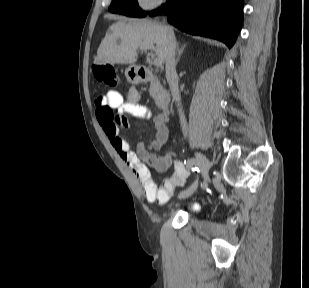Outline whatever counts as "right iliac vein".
Segmentation results:
<instances>
[{"label":"right iliac vein","instance_id":"1","mask_svg":"<svg viewBox=\"0 0 309 288\" xmlns=\"http://www.w3.org/2000/svg\"><path fill=\"white\" fill-rule=\"evenodd\" d=\"M195 158H196V161L198 160L201 163L200 166H199L200 167V172H201L202 179L205 181L208 178V173H209V168H210L209 161L200 152H195ZM196 187L197 186L195 185V189H196ZM194 191L195 190H192V193H187V197L190 196L191 194H193ZM183 198H185V197H183Z\"/></svg>","mask_w":309,"mask_h":288}]
</instances>
